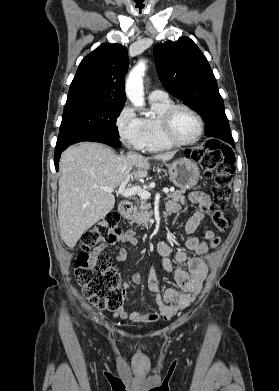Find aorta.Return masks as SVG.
Returning <instances> with one entry per match:
<instances>
[{
    "instance_id": "aorta-1",
    "label": "aorta",
    "mask_w": 279,
    "mask_h": 391,
    "mask_svg": "<svg viewBox=\"0 0 279 391\" xmlns=\"http://www.w3.org/2000/svg\"><path fill=\"white\" fill-rule=\"evenodd\" d=\"M146 70V61H140L129 73L126 80L125 92L130 102L139 108L144 106L143 76Z\"/></svg>"
}]
</instances>
